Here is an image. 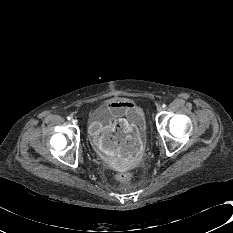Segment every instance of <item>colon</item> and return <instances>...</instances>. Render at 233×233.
<instances>
[{"label": "colon", "mask_w": 233, "mask_h": 233, "mask_svg": "<svg viewBox=\"0 0 233 233\" xmlns=\"http://www.w3.org/2000/svg\"><path fill=\"white\" fill-rule=\"evenodd\" d=\"M115 128L117 130L122 131L125 128V124L122 121H116L115 122ZM116 178L121 183H128V182L131 181L132 176L127 171H120V172L117 173Z\"/></svg>", "instance_id": "colon-1"}]
</instances>
